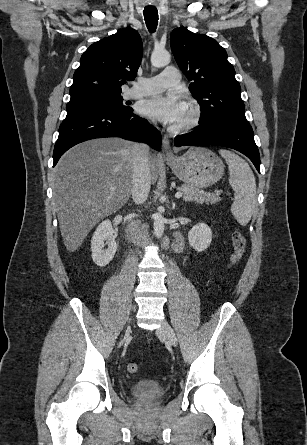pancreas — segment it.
I'll return each mask as SVG.
<instances>
[{"mask_svg":"<svg viewBox=\"0 0 307 445\" xmlns=\"http://www.w3.org/2000/svg\"><path fill=\"white\" fill-rule=\"evenodd\" d=\"M177 190L182 192L183 200H195L199 204H214V202H219L221 200L219 194H214V192H204L200 188H195V186H189V184H181L178 186Z\"/></svg>","mask_w":307,"mask_h":445,"instance_id":"cf45deb5","label":"pancreas"}]
</instances>
